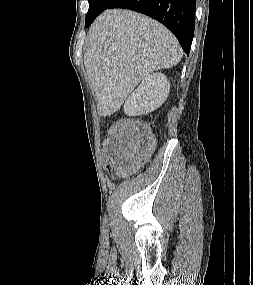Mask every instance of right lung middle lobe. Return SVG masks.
I'll list each match as a JSON object with an SVG mask.
<instances>
[{"instance_id": "dd1d6c3e", "label": "right lung middle lobe", "mask_w": 253, "mask_h": 285, "mask_svg": "<svg viewBox=\"0 0 253 285\" xmlns=\"http://www.w3.org/2000/svg\"><path fill=\"white\" fill-rule=\"evenodd\" d=\"M89 9L85 19V26L88 27L94 19L106 10L114 0H88Z\"/></svg>"}]
</instances>
